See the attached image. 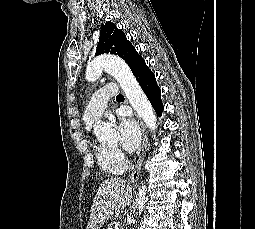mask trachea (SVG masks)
<instances>
[{"mask_svg": "<svg viewBox=\"0 0 255 229\" xmlns=\"http://www.w3.org/2000/svg\"><path fill=\"white\" fill-rule=\"evenodd\" d=\"M120 98H123V95L119 94L116 99H120Z\"/></svg>", "mask_w": 255, "mask_h": 229, "instance_id": "1", "label": "trachea"}]
</instances>
